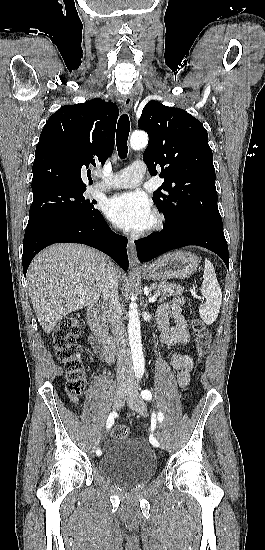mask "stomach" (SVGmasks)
I'll return each instance as SVG.
<instances>
[{
    "instance_id": "1",
    "label": "stomach",
    "mask_w": 265,
    "mask_h": 550,
    "mask_svg": "<svg viewBox=\"0 0 265 550\" xmlns=\"http://www.w3.org/2000/svg\"><path fill=\"white\" fill-rule=\"evenodd\" d=\"M199 262V258L190 252H169L144 268L142 276L161 281L175 278L185 279L196 272Z\"/></svg>"
}]
</instances>
